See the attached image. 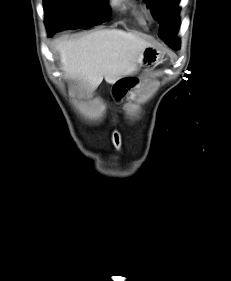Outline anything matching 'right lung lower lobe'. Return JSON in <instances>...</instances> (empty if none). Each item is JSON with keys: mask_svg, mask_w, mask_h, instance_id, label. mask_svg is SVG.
I'll use <instances>...</instances> for the list:
<instances>
[{"mask_svg": "<svg viewBox=\"0 0 231 281\" xmlns=\"http://www.w3.org/2000/svg\"><path fill=\"white\" fill-rule=\"evenodd\" d=\"M49 32V36H52L53 35V32H51V31H48Z\"/></svg>", "mask_w": 231, "mask_h": 281, "instance_id": "obj_1", "label": "right lung lower lobe"}]
</instances>
